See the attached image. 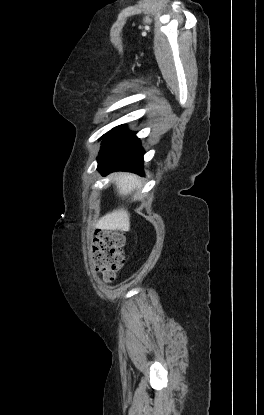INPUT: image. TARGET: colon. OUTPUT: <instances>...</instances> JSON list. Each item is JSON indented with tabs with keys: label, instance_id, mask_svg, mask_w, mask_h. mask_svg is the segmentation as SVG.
Returning <instances> with one entry per match:
<instances>
[{
	"label": "colon",
	"instance_id": "colon-1",
	"mask_svg": "<svg viewBox=\"0 0 264 415\" xmlns=\"http://www.w3.org/2000/svg\"><path fill=\"white\" fill-rule=\"evenodd\" d=\"M125 234L122 231L99 229L93 239V262L102 278L111 282L123 267Z\"/></svg>",
	"mask_w": 264,
	"mask_h": 415
}]
</instances>
